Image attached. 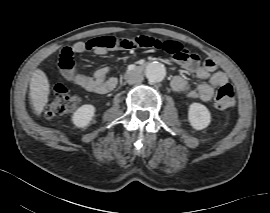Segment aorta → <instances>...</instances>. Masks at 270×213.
<instances>
[{
  "mask_svg": "<svg viewBox=\"0 0 270 213\" xmlns=\"http://www.w3.org/2000/svg\"><path fill=\"white\" fill-rule=\"evenodd\" d=\"M145 75L150 82L159 83L165 78L166 70L163 64L153 62L146 67Z\"/></svg>",
  "mask_w": 270,
  "mask_h": 213,
  "instance_id": "obj_1",
  "label": "aorta"
}]
</instances>
